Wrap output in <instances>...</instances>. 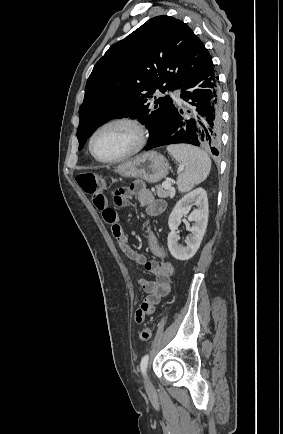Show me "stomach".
I'll return each mask as SVG.
<instances>
[{"instance_id": "0dacf381", "label": "stomach", "mask_w": 283, "mask_h": 434, "mask_svg": "<svg viewBox=\"0 0 283 434\" xmlns=\"http://www.w3.org/2000/svg\"><path fill=\"white\" fill-rule=\"evenodd\" d=\"M169 164L158 152L141 154L116 167L119 175L128 178H141L149 183H157L167 176Z\"/></svg>"}]
</instances>
